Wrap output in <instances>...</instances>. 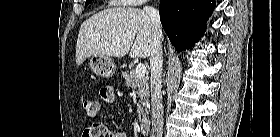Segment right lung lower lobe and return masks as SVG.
<instances>
[{
    "instance_id": "obj_1",
    "label": "right lung lower lobe",
    "mask_w": 280,
    "mask_h": 137,
    "mask_svg": "<svg viewBox=\"0 0 280 137\" xmlns=\"http://www.w3.org/2000/svg\"><path fill=\"white\" fill-rule=\"evenodd\" d=\"M215 0H160V20L178 52L199 40L212 14Z\"/></svg>"
}]
</instances>
